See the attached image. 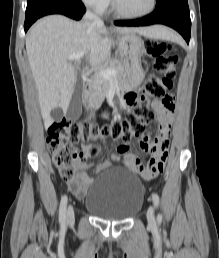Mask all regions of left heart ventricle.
<instances>
[{
  "instance_id": "1",
  "label": "left heart ventricle",
  "mask_w": 219,
  "mask_h": 258,
  "mask_svg": "<svg viewBox=\"0 0 219 258\" xmlns=\"http://www.w3.org/2000/svg\"><path fill=\"white\" fill-rule=\"evenodd\" d=\"M120 8L127 13H140L147 10L151 0H117Z\"/></svg>"
}]
</instances>
